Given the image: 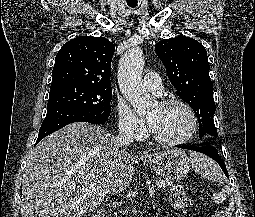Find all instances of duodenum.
Segmentation results:
<instances>
[{"instance_id": "1", "label": "duodenum", "mask_w": 255, "mask_h": 217, "mask_svg": "<svg viewBox=\"0 0 255 217\" xmlns=\"http://www.w3.org/2000/svg\"><path fill=\"white\" fill-rule=\"evenodd\" d=\"M92 217H106V211L100 210V211L96 212Z\"/></svg>"}]
</instances>
